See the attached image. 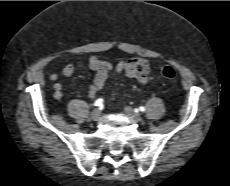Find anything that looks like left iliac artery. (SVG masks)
Instances as JSON below:
<instances>
[{
	"instance_id": "left-iliac-artery-1",
	"label": "left iliac artery",
	"mask_w": 230,
	"mask_h": 186,
	"mask_svg": "<svg viewBox=\"0 0 230 186\" xmlns=\"http://www.w3.org/2000/svg\"><path fill=\"white\" fill-rule=\"evenodd\" d=\"M139 110L144 112L146 110V108L144 106H141V107H139Z\"/></svg>"
}]
</instances>
